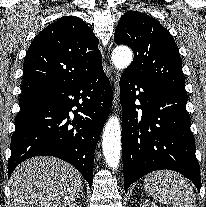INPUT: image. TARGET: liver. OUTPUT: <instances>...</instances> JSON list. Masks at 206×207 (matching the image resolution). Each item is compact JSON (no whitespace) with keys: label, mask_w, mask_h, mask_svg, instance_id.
I'll list each match as a JSON object with an SVG mask.
<instances>
[{"label":"liver","mask_w":206,"mask_h":207,"mask_svg":"<svg viewBox=\"0 0 206 207\" xmlns=\"http://www.w3.org/2000/svg\"><path fill=\"white\" fill-rule=\"evenodd\" d=\"M13 207H66L79 198L82 176L54 157H34L21 163L10 178Z\"/></svg>","instance_id":"1"}]
</instances>
